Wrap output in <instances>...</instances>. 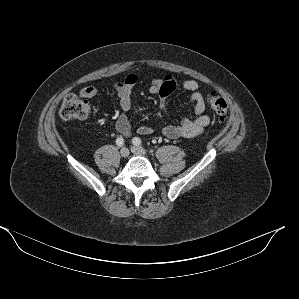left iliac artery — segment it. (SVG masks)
<instances>
[{"label":"left iliac artery","mask_w":299,"mask_h":299,"mask_svg":"<svg viewBox=\"0 0 299 299\" xmlns=\"http://www.w3.org/2000/svg\"><path fill=\"white\" fill-rule=\"evenodd\" d=\"M132 142L134 145H140L142 143V141L139 137L133 138Z\"/></svg>","instance_id":"1"}]
</instances>
